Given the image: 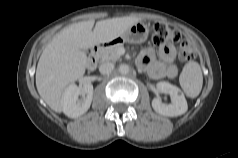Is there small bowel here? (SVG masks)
Segmentation results:
<instances>
[{
  "label": "small bowel",
  "instance_id": "small-bowel-1",
  "mask_svg": "<svg viewBox=\"0 0 238 158\" xmlns=\"http://www.w3.org/2000/svg\"><path fill=\"white\" fill-rule=\"evenodd\" d=\"M176 51L173 45L168 44L160 48L158 60L151 48H145L138 57V65L146 70L156 80L163 78H175L178 68L175 64Z\"/></svg>",
  "mask_w": 238,
  "mask_h": 158
}]
</instances>
